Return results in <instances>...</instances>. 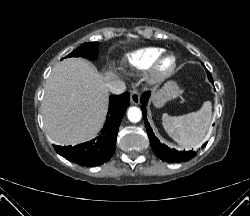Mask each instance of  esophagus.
Returning <instances> with one entry per match:
<instances>
[{
  "label": "esophagus",
  "instance_id": "obj_1",
  "mask_svg": "<svg viewBox=\"0 0 250 216\" xmlns=\"http://www.w3.org/2000/svg\"><path fill=\"white\" fill-rule=\"evenodd\" d=\"M131 103L138 105L140 103V93L137 90H132L130 93Z\"/></svg>",
  "mask_w": 250,
  "mask_h": 216
}]
</instances>
